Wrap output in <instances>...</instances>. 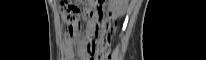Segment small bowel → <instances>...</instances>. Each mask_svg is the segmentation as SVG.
<instances>
[{
    "label": "small bowel",
    "mask_w": 206,
    "mask_h": 60,
    "mask_svg": "<svg viewBox=\"0 0 206 60\" xmlns=\"http://www.w3.org/2000/svg\"><path fill=\"white\" fill-rule=\"evenodd\" d=\"M65 53L68 59L70 60L74 59V54H73L71 46L66 47Z\"/></svg>",
    "instance_id": "obj_1"
}]
</instances>
